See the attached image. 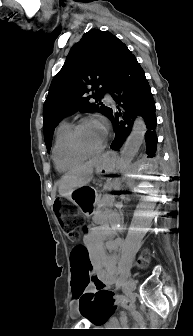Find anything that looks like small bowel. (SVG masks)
I'll list each match as a JSON object with an SVG mask.
<instances>
[{"mask_svg":"<svg viewBox=\"0 0 193 336\" xmlns=\"http://www.w3.org/2000/svg\"><path fill=\"white\" fill-rule=\"evenodd\" d=\"M112 219L110 211H101L98 216L99 225L85 236L83 245L95 276L106 287L114 284L119 263V257L116 254H108L107 251H115L122 245V241L114 237L115 228L110 224ZM88 289L90 285H87L85 292H88ZM116 323L115 318H110L107 325L114 326Z\"/></svg>","mask_w":193,"mask_h":336,"instance_id":"small-bowel-1","label":"small bowel"}]
</instances>
